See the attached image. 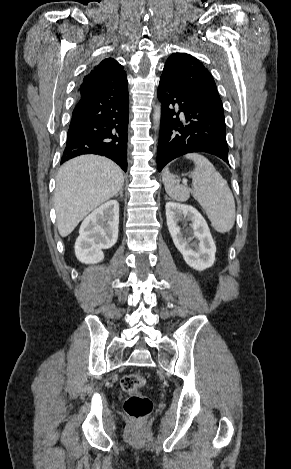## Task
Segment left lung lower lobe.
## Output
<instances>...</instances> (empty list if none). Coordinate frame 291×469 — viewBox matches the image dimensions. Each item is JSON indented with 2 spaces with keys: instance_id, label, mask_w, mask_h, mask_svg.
Segmentation results:
<instances>
[{
  "instance_id": "0a47b994",
  "label": "left lung lower lobe",
  "mask_w": 291,
  "mask_h": 469,
  "mask_svg": "<svg viewBox=\"0 0 291 469\" xmlns=\"http://www.w3.org/2000/svg\"><path fill=\"white\" fill-rule=\"evenodd\" d=\"M157 94L162 102L157 151L159 172L171 160L193 152L210 153L229 164L223 107L165 78H160ZM180 112L184 113L183 122L179 119Z\"/></svg>"
}]
</instances>
